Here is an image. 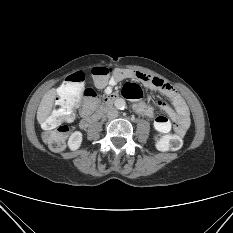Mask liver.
Listing matches in <instances>:
<instances>
[{
    "instance_id": "liver-1",
    "label": "liver",
    "mask_w": 233,
    "mask_h": 233,
    "mask_svg": "<svg viewBox=\"0 0 233 233\" xmlns=\"http://www.w3.org/2000/svg\"><path fill=\"white\" fill-rule=\"evenodd\" d=\"M56 95H57L56 89L52 88L48 92H46L44 96L42 97L38 110H37V120L40 124H42L49 116L52 110Z\"/></svg>"
}]
</instances>
